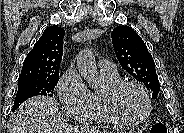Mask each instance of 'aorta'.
Instances as JSON below:
<instances>
[{
	"instance_id": "aorta-1",
	"label": "aorta",
	"mask_w": 184,
	"mask_h": 133,
	"mask_svg": "<svg viewBox=\"0 0 184 133\" xmlns=\"http://www.w3.org/2000/svg\"><path fill=\"white\" fill-rule=\"evenodd\" d=\"M77 68L90 87L97 86V66L95 58L90 50L84 49L79 52L77 55Z\"/></svg>"
}]
</instances>
